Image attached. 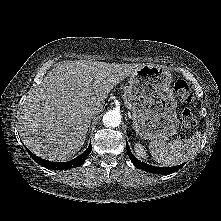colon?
Returning <instances> with one entry per match:
<instances>
[{
    "mask_svg": "<svg viewBox=\"0 0 221 221\" xmlns=\"http://www.w3.org/2000/svg\"><path fill=\"white\" fill-rule=\"evenodd\" d=\"M174 92L180 101L190 103L193 100V94L189 85L184 80H178L174 84ZM181 120L184 126L194 127L196 118L189 109H184L181 113Z\"/></svg>",
    "mask_w": 221,
    "mask_h": 221,
    "instance_id": "colon-1",
    "label": "colon"
}]
</instances>
